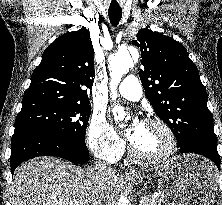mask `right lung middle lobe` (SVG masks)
Returning <instances> with one entry per match:
<instances>
[{"label": "right lung middle lobe", "mask_w": 222, "mask_h": 205, "mask_svg": "<svg viewBox=\"0 0 222 205\" xmlns=\"http://www.w3.org/2000/svg\"><path fill=\"white\" fill-rule=\"evenodd\" d=\"M90 113L89 104L47 105L20 112L15 120V129H45L57 135L85 143Z\"/></svg>", "instance_id": "1"}]
</instances>
